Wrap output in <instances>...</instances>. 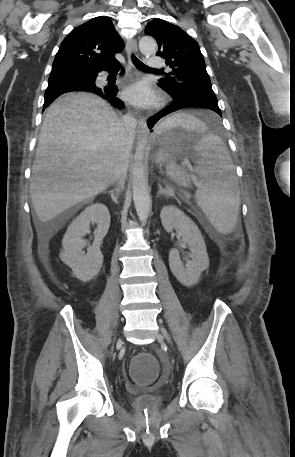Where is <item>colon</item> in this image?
I'll list each match as a JSON object with an SVG mask.
<instances>
[{"mask_svg":"<svg viewBox=\"0 0 295 457\" xmlns=\"http://www.w3.org/2000/svg\"><path fill=\"white\" fill-rule=\"evenodd\" d=\"M130 377L133 383H156L157 363L153 351H134L131 360Z\"/></svg>","mask_w":295,"mask_h":457,"instance_id":"1","label":"colon"}]
</instances>
